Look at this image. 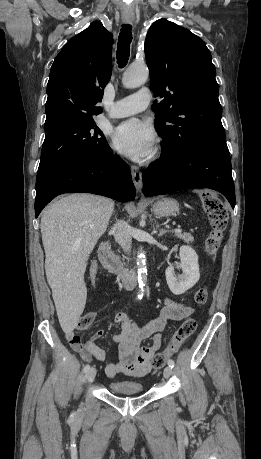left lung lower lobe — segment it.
<instances>
[{"instance_id": "obj_1", "label": "left lung lower lobe", "mask_w": 261, "mask_h": 459, "mask_svg": "<svg viewBox=\"0 0 261 459\" xmlns=\"http://www.w3.org/2000/svg\"><path fill=\"white\" fill-rule=\"evenodd\" d=\"M145 196L168 194L188 188H210L235 206L231 161L225 139L198 142L176 153L162 146L160 158L143 170Z\"/></svg>"}]
</instances>
